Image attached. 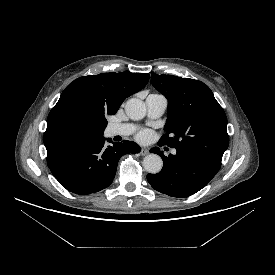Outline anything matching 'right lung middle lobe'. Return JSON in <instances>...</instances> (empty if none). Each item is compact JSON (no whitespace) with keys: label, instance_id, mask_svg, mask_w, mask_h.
<instances>
[{"label":"right lung middle lobe","instance_id":"1","mask_svg":"<svg viewBox=\"0 0 275 275\" xmlns=\"http://www.w3.org/2000/svg\"><path fill=\"white\" fill-rule=\"evenodd\" d=\"M97 127L99 128L100 132L103 133L104 129L107 126V120L105 116H102L96 120Z\"/></svg>","mask_w":275,"mask_h":275}]
</instances>
